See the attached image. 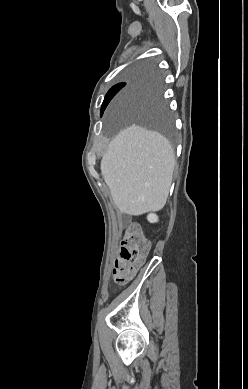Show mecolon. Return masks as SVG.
I'll use <instances>...</instances> for the list:
<instances>
[{"mask_svg": "<svg viewBox=\"0 0 248 389\" xmlns=\"http://www.w3.org/2000/svg\"><path fill=\"white\" fill-rule=\"evenodd\" d=\"M149 241L138 224H130L121 242L119 257L113 269L114 282L124 285L137 272L149 252Z\"/></svg>", "mask_w": 248, "mask_h": 389, "instance_id": "1", "label": "colon"}]
</instances>
